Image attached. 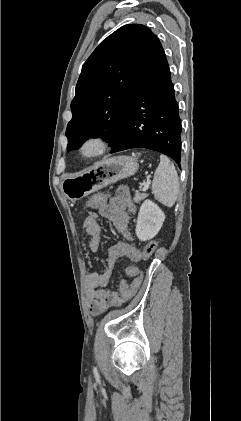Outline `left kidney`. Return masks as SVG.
I'll return each instance as SVG.
<instances>
[{
	"instance_id": "obj_1",
	"label": "left kidney",
	"mask_w": 241,
	"mask_h": 421,
	"mask_svg": "<svg viewBox=\"0 0 241 421\" xmlns=\"http://www.w3.org/2000/svg\"><path fill=\"white\" fill-rule=\"evenodd\" d=\"M165 220L164 212L151 200H146L140 207L137 224L136 236L141 241L150 240L160 231Z\"/></svg>"
}]
</instances>
